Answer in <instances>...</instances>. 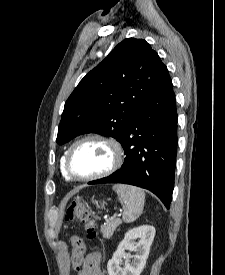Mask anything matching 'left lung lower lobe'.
<instances>
[{
	"mask_svg": "<svg viewBox=\"0 0 225 275\" xmlns=\"http://www.w3.org/2000/svg\"><path fill=\"white\" fill-rule=\"evenodd\" d=\"M177 111L170 77L150 97L128 126L121 141L122 167L89 184L125 183L148 189L169 209L177 154Z\"/></svg>",
	"mask_w": 225,
	"mask_h": 275,
	"instance_id": "0a47b994",
	"label": "left lung lower lobe"
}]
</instances>
